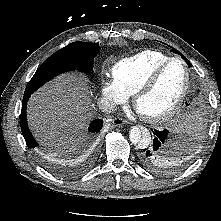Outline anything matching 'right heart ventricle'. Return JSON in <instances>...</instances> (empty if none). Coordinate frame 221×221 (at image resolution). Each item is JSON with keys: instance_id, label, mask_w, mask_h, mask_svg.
Instances as JSON below:
<instances>
[{"instance_id": "right-heart-ventricle-1", "label": "right heart ventricle", "mask_w": 221, "mask_h": 221, "mask_svg": "<svg viewBox=\"0 0 221 221\" xmlns=\"http://www.w3.org/2000/svg\"><path fill=\"white\" fill-rule=\"evenodd\" d=\"M169 58L160 51L144 50L118 61L112 67V75L128 95H133L153 71Z\"/></svg>"}]
</instances>
